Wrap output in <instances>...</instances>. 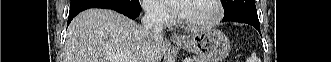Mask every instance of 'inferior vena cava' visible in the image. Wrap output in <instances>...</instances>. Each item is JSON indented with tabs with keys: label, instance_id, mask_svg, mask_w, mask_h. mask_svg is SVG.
<instances>
[{
	"label": "inferior vena cava",
	"instance_id": "obj_1",
	"mask_svg": "<svg viewBox=\"0 0 331 62\" xmlns=\"http://www.w3.org/2000/svg\"><path fill=\"white\" fill-rule=\"evenodd\" d=\"M164 19L165 12L160 6L149 4L145 7V15L141 22L147 38L154 40L162 37Z\"/></svg>",
	"mask_w": 331,
	"mask_h": 62
}]
</instances>
